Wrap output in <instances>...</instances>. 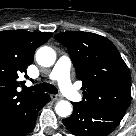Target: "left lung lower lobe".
Instances as JSON below:
<instances>
[{"label": "left lung lower lobe", "instance_id": "obj_1", "mask_svg": "<svg viewBox=\"0 0 136 136\" xmlns=\"http://www.w3.org/2000/svg\"><path fill=\"white\" fill-rule=\"evenodd\" d=\"M72 115L63 119L68 130L77 136H107L117 127L124 114L85 105L72 103Z\"/></svg>", "mask_w": 136, "mask_h": 136}]
</instances>
